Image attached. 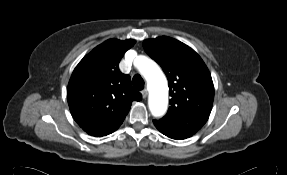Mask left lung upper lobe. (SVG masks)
<instances>
[{"label": "left lung upper lobe", "mask_w": 287, "mask_h": 175, "mask_svg": "<svg viewBox=\"0 0 287 175\" xmlns=\"http://www.w3.org/2000/svg\"><path fill=\"white\" fill-rule=\"evenodd\" d=\"M143 46L165 72L171 96L167 114L154 124L184 139L191 137L207 122L213 105L208 68L192 48L173 38L147 39Z\"/></svg>", "instance_id": "obj_1"}]
</instances>
